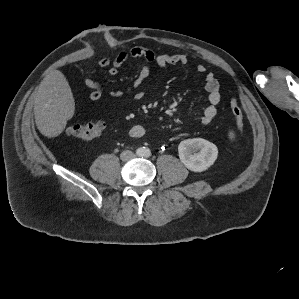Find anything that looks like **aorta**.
<instances>
[{"mask_svg": "<svg viewBox=\"0 0 299 299\" xmlns=\"http://www.w3.org/2000/svg\"><path fill=\"white\" fill-rule=\"evenodd\" d=\"M138 154L143 157H148L150 155V150L148 148L143 147L138 150Z\"/></svg>", "mask_w": 299, "mask_h": 299, "instance_id": "aorta-1", "label": "aorta"}]
</instances>
